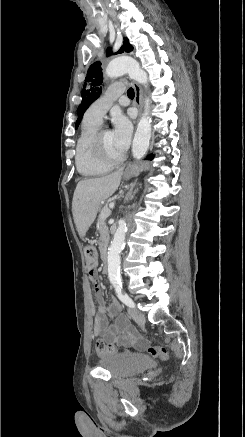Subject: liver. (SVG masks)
I'll return each instance as SVG.
<instances>
[{"instance_id":"6515ba94","label":"liver","mask_w":245,"mask_h":437,"mask_svg":"<svg viewBox=\"0 0 245 437\" xmlns=\"http://www.w3.org/2000/svg\"><path fill=\"white\" fill-rule=\"evenodd\" d=\"M122 172L121 168L107 176L78 182L73 195L72 214L81 238L86 235L93 224L101 201L112 196L118 189Z\"/></svg>"}]
</instances>
